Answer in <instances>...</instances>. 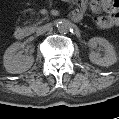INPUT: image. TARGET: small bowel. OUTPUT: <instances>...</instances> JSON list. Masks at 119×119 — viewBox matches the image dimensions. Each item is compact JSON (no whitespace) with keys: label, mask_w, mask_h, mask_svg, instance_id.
I'll return each mask as SVG.
<instances>
[{"label":"small bowel","mask_w":119,"mask_h":119,"mask_svg":"<svg viewBox=\"0 0 119 119\" xmlns=\"http://www.w3.org/2000/svg\"><path fill=\"white\" fill-rule=\"evenodd\" d=\"M98 14L94 18V24L99 29H109L119 24V1L117 0H91L77 2V10L83 15L87 7ZM105 13V14H102Z\"/></svg>","instance_id":"obj_1"}]
</instances>
